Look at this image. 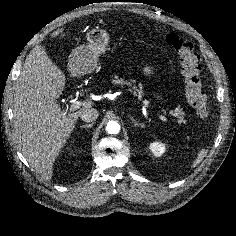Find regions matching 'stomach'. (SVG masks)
Instances as JSON below:
<instances>
[{
	"instance_id": "stomach-1",
	"label": "stomach",
	"mask_w": 236,
	"mask_h": 236,
	"mask_svg": "<svg viewBox=\"0 0 236 236\" xmlns=\"http://www.w3.org/2000/svg\"><path fill=\"white\" fill-rule=\"evenodd\" d=\"M86 45L75 48L68 59V66L77 68L81 75L93 72L98 64V57L104 53L109 44V34L105 29L93 28L87 33ZM143 73L146 76L153 74L151 66H144Z\"/></svg>"
}]
</instances>
